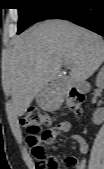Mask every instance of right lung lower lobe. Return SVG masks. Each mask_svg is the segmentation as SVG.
<instances>
[{
    "instance_id": "right-lung-lower-lobe-1",
    "label": "right lung lower lobe",
    "mask_w": 104,
    "mask_h": 169,
    "mask_svg": "<svg viewBox=\"0 0 104 169\" xmlns=\"http://www.w3.org/2000/svg\"><path fill=\"white\" fill-rule=\"evenodd\" d=\"M49 19H65L104 36V0H75Z\"/></svg>"
}]
</instances>
